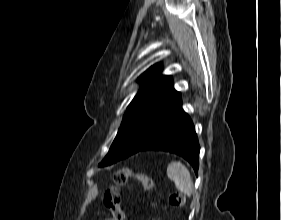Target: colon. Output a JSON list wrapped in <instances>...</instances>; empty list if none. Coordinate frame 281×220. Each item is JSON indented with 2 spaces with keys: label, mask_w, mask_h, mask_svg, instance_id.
Here are the masks:
<instances>
[{
  "label": "colon",
  "mask_w": 281,
  "mask_h": 220,
  "mask_svg": "<svg viewBox=\"0 0 281 220\" xmlns=\"http://www.w3.org/2000/svg\"><path fill=\"white\" fill-rule=\"evenodd\" d=\"M135 174L142 182L146 190H153L154 183L152 179L143 172H134L129 167H124L116 171L113 175V184L106 190L103 202L111 213L110 220H124L125 215L121 208V188L126 185L130 175ZM169 202L173 206H182L185 198L180 193H174L169 196Z\"/></svg>",
  "instance_id": "colon-1"
}]
</instances>
